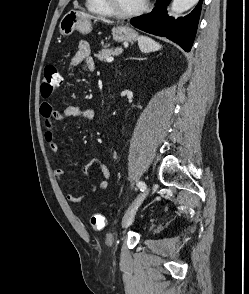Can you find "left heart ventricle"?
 Returning <instances> with one entry per match:
<instances>
[{"mask_svg":"<svg viewBox=\"0 0 249 294\" xmlns=\"http://www.w3.org/2000/svg\"><path fill=\"white\" fill-rule=\"evenodd\" d=\"M116 7L123 11L134 10L141 6L144 0H113Z\"/></svg>","mask_w":249,"mask_h":294,"instance_id":"b2bd125f","label":"left heart ventricle"}]
</instances>
